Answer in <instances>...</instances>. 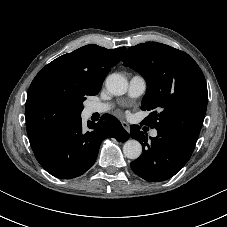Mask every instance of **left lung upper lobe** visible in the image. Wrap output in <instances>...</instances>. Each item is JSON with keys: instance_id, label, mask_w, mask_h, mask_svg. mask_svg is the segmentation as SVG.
<instances>
[{"instance_id": "obj_1", "label": "left lung upper lobe", "mask_w": 227, "mask_h": 227, "mask_svg": "<svg viewBox=\"0 0 227 227\" xmlns=\"http://www.w3.org/2000/svg\"><path fill=\"white\" fill-rule=\"evenodd\" d=\"M122 61L147 80L143 124L169 129L197 141L207 109V84L197 63L185 52L157 42L130 47Z\"/></svg>"}]
</instances>
